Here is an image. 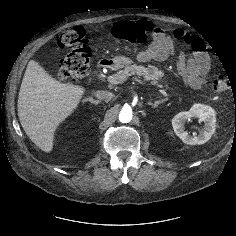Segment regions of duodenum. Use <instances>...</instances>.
<instances>
[{
	"mask_svg": "<svg viewBox=\"0 0 236 236\" xmlns=\"http://www.w3.org/2000/svg\"><path fill=\"white\" fill-rule=\"evenodd\" d=\"M113 65H114V62L112 60L102 59L98 62L96 68H97V70H102L105 68L112 67Z\"/></svg>",
	"mask_w": 236,
	"mask_h": 236,
	"instance_id": "obj_1",
	"label": "duodenum"
}]
</instances>
